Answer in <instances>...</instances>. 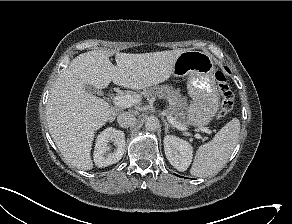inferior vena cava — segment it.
I'll return each mask as SVG.
<instances>
[{"instance_id": "1", "label": "inferior vena cava", "mask_w": 292, "mask_h": 224, "mask_svg": "<svg viewBox=\"0 0 292 224\" xmlns=\"http://www.w3.org/2000/svg\"><path fill=\"white\" fill-rule=\"evenodd\" d=\"M118 124L123 128L132 127L136 123V117L130 112L120 113L117 117Z\"/></svg>"}]
</instances>
